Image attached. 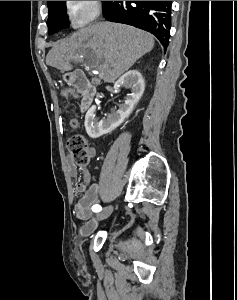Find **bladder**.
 I'll return each mask as SVG.
<instances>
[{
	"instance_id": "31cf9c89",
	"label": "bladder",
	"mask_w": 237,
	"mask_h": 300,
	"mask_svg": "<svg viewBox=\"0 0 237 300\" xmlns=\"http://www.w3.org/2000/svg\"><path fill=\"white\" fill-rule=\"evenodd\" d=\"M115 233H116V230L113 229V230L111 231V234H115Z\"/></svg>"
}]
</instances>
